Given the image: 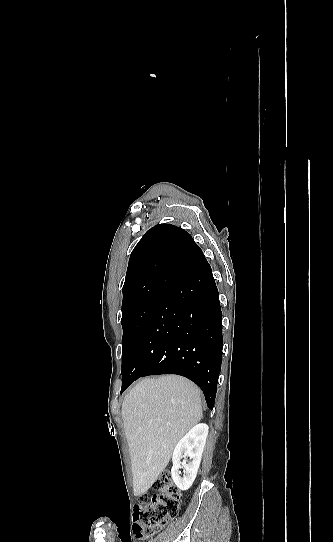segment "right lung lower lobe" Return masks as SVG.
Returning a JSON list of instances; mask_svg holds the SVG:
<instances>
[{
  "label": "right lung lower lobe",
  "mask_w": 333,
  "mask_h": 542,
  "mask_svg": "<svg viewBox=\"0 0 333 542\" xmlns=\"http://www.w3.org/2000/svg\"><path fill=\"white\" fill-rule=\"evenodd\" d=\"M168 266L187 274L157 305L122 372L121 393L148 375L178 374L196 383L214 407L222 363V312L211 267L202 251L161 252Z\"/></svg>",
  "instance_id": "obj_1"
}]
</instances>
